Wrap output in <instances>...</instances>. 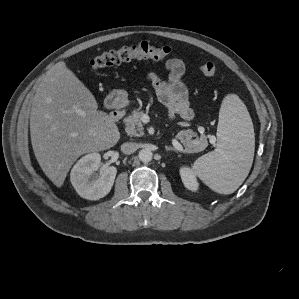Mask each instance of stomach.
<instances>
[{
	"label": "stomach",
	"mask_w": 299,
	"mask_h": 299,
	"mask_svg": "<svg viewBox=\"0 0 299 299\" xmlns=\"http://www.w3.org/2000/svg\"><path fill=\"white\" fill-rule=\"evenodd\" d=\"M127 92L124 90H117L113 91L110 96L109 100L113 107H120L127 103Z\"/></svg>",
	"instance_id": "1"
}]
</instances>
